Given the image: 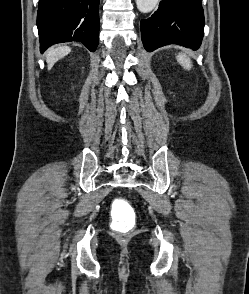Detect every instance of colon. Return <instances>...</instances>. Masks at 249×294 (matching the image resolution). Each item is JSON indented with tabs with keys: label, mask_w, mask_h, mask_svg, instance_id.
Instances as JSON below:
<instances>
[{
	"label": "colon",
	"mask_w": 249,
	"mask_h": 294,
	"mask_svg": "<svg viewBox=\"0 0 249 294\" xmlns=\"http://www.w3.org/2000/svg\"><path fill=\"white\" fill-rule=\"evenodd\" d=\"M112 209L118 212L112 219V229L119 233H127L130 231L134 226V220L130 214L126 213L128 210L127 202L124 199H114L112 202Z\"/></svg>",
	"instance_id": "obj_1"
}]
</instances>
